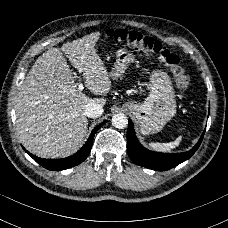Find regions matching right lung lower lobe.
Listing matches in <instances>:
<instances>
[{"instance_id":"1","label":"right lung lower lobe","mask_w":228,"mask_h":228,"mask_svg":"<svg viewBox=\"0 0 228 228\" xmlns=\"http://www.w3.org/2000/svg\"><path fill=\"white\" fill-rule=\"evenodd\" d=\"M106 121L102 122L100 125L95 127L89 136L87 142L85 145L74 155L69 156L67 158L63 159H41L35 155H32L27 150L26 153H28L36 162H38L40 165H42L44 168L51 170V171H60L64 169H68L71 167H74L80 163H82L89 155L92 145H93V139L94 135L97 132V130L105 123Z\"/></svg>"}]
</instances>
